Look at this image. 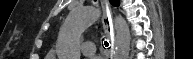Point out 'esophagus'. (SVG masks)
Segmentation results:
<instances>
[{
	"mask_svg": "<svg viewBox=\"0 0 193 59\" xmlns=\"http://www.w3.org/2000/svg\"><path fill=\"white\" fill-rule=\"evenodd\" d=\"M92 3L96 5L98 4V1L93 0ZM101 5L103 9L102 23L110 40V50L107 59H113L114 45H115V31H114V23L112 20V9L110 8V2L107 0L103 1Z\"/></svg>",
	"mask_w": 193,
	"mask_h": 59,
	"instance_id": "1",
	"label": "esophagus"
}]
</instances>
